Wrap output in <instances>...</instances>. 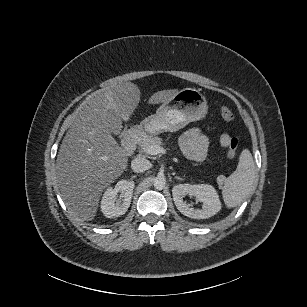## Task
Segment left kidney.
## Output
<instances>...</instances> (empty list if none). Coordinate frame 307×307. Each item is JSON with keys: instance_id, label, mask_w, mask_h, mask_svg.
<instances>
[{"instance_id": "obj_1", "label": "left kidney", "mask_w": 307, "mask_h": 307, "mask_svg": "<svg viewBox=\"0 0 307 307\" xmlns=\"http://www.w3.org/2000/svg\"><path fill=\"white\" fill-rule=\"evenodd\" d=\"M172 195L177 209L185 216L194 219H206L221 209V202L215 188L208 184H179L173 187ZM193 196L203 203L202 209L191 208L183 201L186 196Z\"/></svg>"}]
</instances>
